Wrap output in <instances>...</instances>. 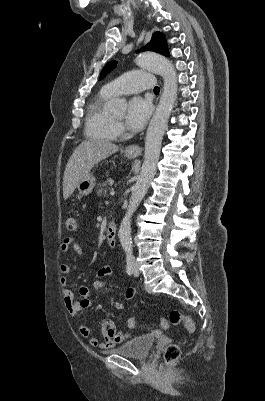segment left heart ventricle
I'll return each instance as SVG.
<instances>
[{
	"label": "left heart ventricle",
	"mask_w": 265,
	"mask_h": 401,
	"mask_svg": "<svg viewBox=\"0 0 265 401\" xmlns=\"http://www.w3.org/2000/svg\"><path fill=\"white\" fill-rule=\"evenodd\" d=\"M122 118H115V120L120 121Z\"/></svg>",
	"instance_id": "1"
}]
</instances>
